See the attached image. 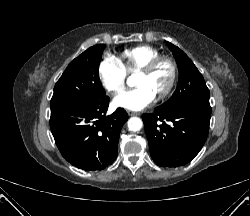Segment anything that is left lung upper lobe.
<instances>
[{
	"label": "left lung upper lobe",
	"mask_w": 250,
	"mask_h": 216,
	"mask_svg": "<svg viewBox=\"0 0 250 216\" xmlns=\"http://www.w3.org/2000/svg\"><path fill=\"white\" fill-rule=\"evenodd\" d=\"M167 44L176 59L179 80L174 94L159 107L168 112L196 107L211 113L210 92L202 74L182 50L169 42Z\"/></svg>",
	"instance_id": "5c2ea615"
}]
</instances>
